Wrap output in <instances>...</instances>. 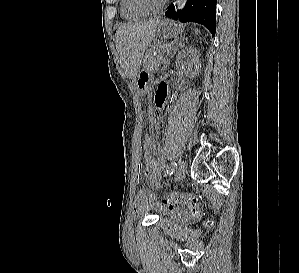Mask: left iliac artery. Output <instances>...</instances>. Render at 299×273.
Returning <instances> with one entry per match:
<instances>
[{
	"mask_svg": "<svg viewBox=\"0 0 299 273\" xmlns=\"http://www.w3.org/2000/svg\"><path fill=\"white\" fill-rule=\"evenodd\" d=\"M177 162H174L171 166H170V168L167 170V175H172L174 172H175V170L177 169Z\"/></svg>",
	"mask_w": 299,
	"mask_h": 273,
	"instance_id": "left-iliac-artery-1",
	"label": "left iliac artery"
}]
</instances>
